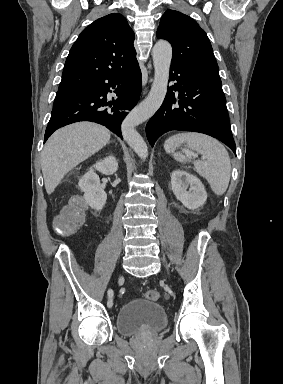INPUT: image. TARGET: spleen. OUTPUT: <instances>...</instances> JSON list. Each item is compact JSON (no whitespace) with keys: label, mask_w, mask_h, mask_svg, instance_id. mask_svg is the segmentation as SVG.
Listing matches in <instances>:
<instances>
[{"label":"spleen","mask_w":283,"mask_h":384,"mask_svg":"<svg viewBox=\"0 0 283 384\" xmlns=\"http://www.w3.org/2000/svg\"><path fill=\"white\" fill-rule=\"evenodd\" d=\"M180 144H186L189 150L202 154L205 160L193 162L195 172L207 180L216 196H222L228 188L231 176V162L223 144L204 134H194V132L176 134L168 138L164 144V150L167 154H171L176 162H191L187 156L174 152Z\"/></svg>","instance_id":"3e777b00"}]
</instances>
